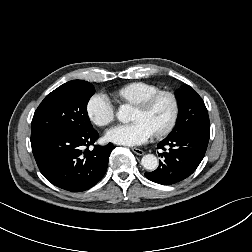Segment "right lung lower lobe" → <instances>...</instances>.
I'll use <instances>...</instances> for the list:
<instances>
[{"mask_svg":"<svg viewBox=\"0 0 252 252\" xmlns=\"http://www.w3.org/2000/svg\"><path fill=\"white\" fill-rule=\"evenodd\" d=\"M95 129L88 132L31 133V146L36 163L53 185L71 192L85 191L94 186L105 174L114 146H95Z\"/></svg>","mask_w":252,"mask_h":252,"instance_id":"obj_1","label":"right lung lower lobe"}]
</instances>
